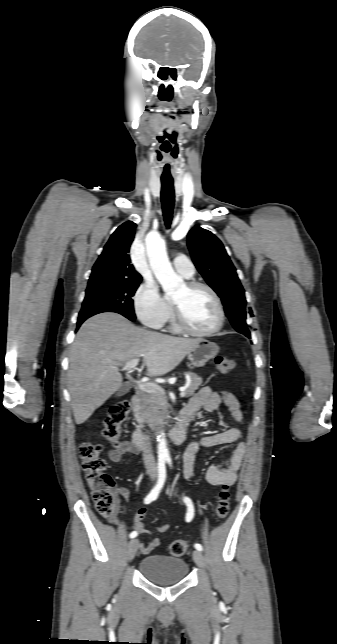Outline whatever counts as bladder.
Instances as JSON below:
<instances>
[{
    "mask_svg": "<svg viewBox=\"0 0 337 644\" xmlns=\"http://www.w3.org/2000/svg\"><path fill=\"white\" fill-rule=\"evenodd\" d=\"M139 572L153 583L169 585L178 583L187 576L188 565L180 558L150 555L140 561Z\"/></svg>",
    "mask_w": 337,
    "mask_h": 644,
    "instance_id": "31cf9c89",
    "label": "bladder"
}]
</instances>
